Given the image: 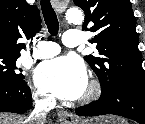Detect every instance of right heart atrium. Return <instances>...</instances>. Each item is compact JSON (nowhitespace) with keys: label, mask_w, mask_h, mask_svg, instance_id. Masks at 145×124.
I'll use <instances>...</instances> for the list:
<instances>
[{"label":"right heart atrium","mask_w":145,"mask_h":124,"mask_svg":"<svg viewBox=\"0 0 145 124\" xmlns=\"http://www.w3.org/2000/svg\"><path fill=\"white\" fill-rule=\"evenodd\" d=\"M34 96L38 100L40 104L43 105H51L53 103V98L51 95L41 91V90H35Z\"/></svg>","instance_id":"right-heart-atrium-1"}]
</instances>
